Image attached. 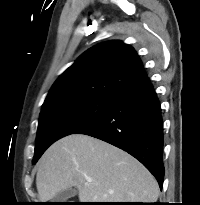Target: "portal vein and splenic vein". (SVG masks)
I'll use <instances>...</instances> for the list:
<instances>
[{
  "label": "portal vein and splenic vein",
  "mask_w": 200,
  "mask_h": 205,
  "mask_svg": "<svg viewBox=\"0 0 200 205\" xmlns=\"http://www.w3.org/2000/svg\"><path fill=\"white\" fill-rule=\"evenodd\" d=\"M86 180H87V182H89V183L92 182V179H90V178H87Z\"/></svg>",
  "instance_id": "portal-vein-and-splenic-vein-1"
}]
</instances>
